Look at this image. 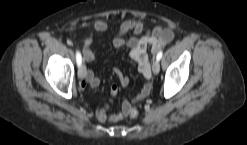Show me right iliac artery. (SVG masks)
I'll return each instance as SVG.
<instances>
[{"mask_svg":"<svg viewBox=\"0 0 247 145\" xmlns=\"http://www.w3.org/2000/svg\"><path fill=\"white\" fill-rule=\"evenodd\" d=\"M76 61H77V65L80 66L82 63V57L79 51H76Z\"/></svg>","mask_w":247,"mask_h":145,"instance_id":"right-iliac-artery-1","label":"right iliac artery"}]
</instances>
